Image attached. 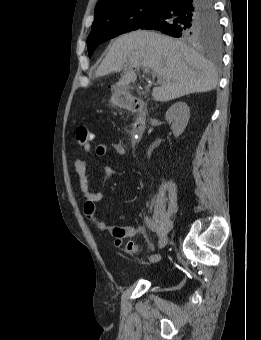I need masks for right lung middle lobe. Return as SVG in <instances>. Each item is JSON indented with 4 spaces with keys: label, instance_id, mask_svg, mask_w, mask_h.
<instances>
[{
    "label": "right lung middle lobe",
    "instance_id": "right-lung-middle-lobe-1",
    "mask_svg": "<svg viewBox=\"0 0 261 340\" xmlns=\"http://www.w3.org/2000/svg\"><path fill=\"white\" fill-rule=\"evenodd\" d=\"M162 0L138 1L106 11L94 19L87 38L88 54L91 57L96 47L122 33L138 29L158 11ZM184 40L219 43L221 28L216 12L210 15H194L187 19L179 35Z\"/></svg>",
    "mask_w": 261,
    "mask_h": 340
}]
</instances>
